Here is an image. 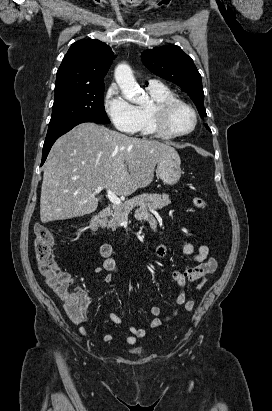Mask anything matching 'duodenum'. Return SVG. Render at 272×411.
Listing matches in <instances>:
<instances>
[{"mask_svg": "<svg viewBox=\"0 0 272 411\" xmlns=\"http://www.w3.org/2000/svg\"><path fill=\"white\" fill-rule=\"evenodd\" d=\"M112 209L110 207L102 209L91 221L90 230L95 236H101L102 225L104 221L111 215Z\"/></svg>", "mask_w": 272, "mask_h": 411, "instance_id": "duodenum-1", "label": "duodenum"}]
</instances>
